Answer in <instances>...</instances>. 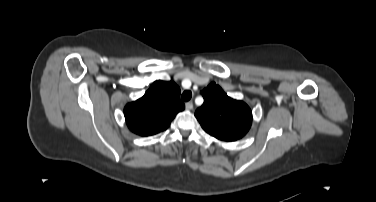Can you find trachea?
I'll list each match as a JSON object with an SVG mask.
<instances>
[{"label": "trachea", "mask_w": 376, "mask_h": 202, "mask_svg": "<svg viewBox=\"0 0 376 202\" xmlns=\"http://www.w3.org/2000/svg\"><path fill=\"white\" fill-rule=\"evenodd\" d=\"M191 97H192V92L191 91H184L183 93H182V95H181V99H182V101H189L190 99H191Z\"/></svg>", "instance_id": "obj_1"}]
</instances>
